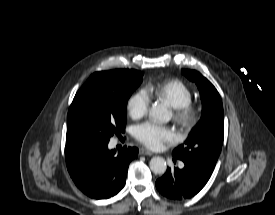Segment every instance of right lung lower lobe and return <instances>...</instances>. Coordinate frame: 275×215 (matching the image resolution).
Wrapping results in <instances>:
<instances>
[{
  "label": "right lung lower lobe",
  "mask_w": 275,
  "mask_h": 215,
  "mask_svg": "<svg viewBox=\"0 0 275 215\" xmlns=\"http://www.w3.org/2000/svg\"><path fill=\"white\" fill-rule=\"evenodd\" d=\"M66 164L76 186L94 199L116 195L125 185L129 163L137 157L136 147H124L115 155L108 141L66 144Z\"/></svg>",
  "instance_id": "obj_1"
}]
</instances>
